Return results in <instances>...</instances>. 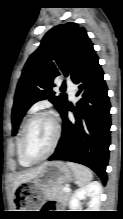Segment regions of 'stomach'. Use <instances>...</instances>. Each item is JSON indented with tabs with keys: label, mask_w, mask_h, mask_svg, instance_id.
I'll return each mask as SVG.
<instances>
[{
	"label": "stomach",
	"mask_w": 123,
	"mask_h": 219,
	"mask_svg": "<svg viewBox=\"0 0 123 219\" xmlns=\"http://www.w3.org/2000/svg\"><path fill=\"white\" fill-rule=\"evenodd\" d=\"M75 175L64 162H48L45 168L33 179L23 183L18 209H38L44 202L47 189L73 181ZM35 211V210H15Z\"/></svg>",
	"instance_id": "0dacf381"
}]
</instances>
